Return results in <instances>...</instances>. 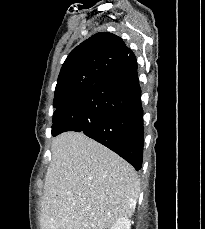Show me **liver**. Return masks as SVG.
I'll list each match as a JSON object with an SVG mask.
<instances>
[{"label":"liver","mask_w":205,"mask_h":229,"mask_svg":"<svg viewBox=\"0 0 205 229\" xmlns=\"http://www.w3.org/2000/svg\"><path fill=\"white\" fill-rule=\"evenodd\" d=\"M51 152L41 229H110L133 214L140 182L123 158L79 132L54 138Z\"/></svg>","instance_id":"1"}]
</instances>
